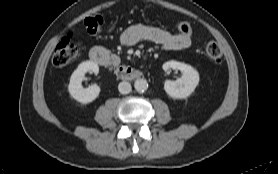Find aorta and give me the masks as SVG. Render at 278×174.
<instances>
[{
	"label": "aorta",
	"instance_id": "1",
	"mask_svg": "<svg viewBox=\"0 0 278 174\" xmlns=\"http://www.w3.org/2000/svg\"><path fill=\"white\" fill-rule=\"evenodd\" d=\"M134 88L137 92H144L148 88V83L145 79H137L134 82Z\"/></svg>",
	"mask_w": 278,
	"mask_h": 174
}]
</instances>
